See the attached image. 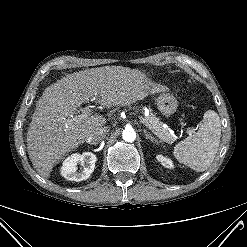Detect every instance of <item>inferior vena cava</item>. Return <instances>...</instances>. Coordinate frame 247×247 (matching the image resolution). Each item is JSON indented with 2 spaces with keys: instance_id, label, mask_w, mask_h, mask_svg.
I'll return each instance as SVG.
<instances>
[{
  "instance_id": "602c4592",
  "label": "inferior vena cava",
  "mask_w": 247,
  "mask_h": 247,
  "mask_svg": "<svg viewBox=\"0 0 247 247\" xmlns=\"http://www.w3.org/2000/svg\"><path fill=\"white\" fill-rule=\"evenodd\" d=\"M106 134H107V129H105L104 127L98 128L87 137L86 139L87 143L98 144L105 139Z\"/></svg>"
}]
</instances>
